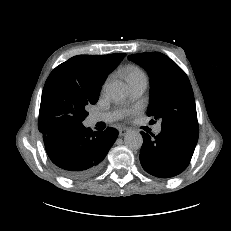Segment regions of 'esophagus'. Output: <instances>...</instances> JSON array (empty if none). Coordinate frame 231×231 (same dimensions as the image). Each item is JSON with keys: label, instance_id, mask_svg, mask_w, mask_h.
<instances>
[{"label": "esophagus", "instance_id": "1", "mask_svg": "<svg viewBox=\"0 0 231 231\" xmlns=\"http://www.w3.org/2000/svg\"><path fill=\"white\" fill-rule=\"evenodd\" d=\"M128 131L129 130L127 128H120L119 129V135L124 136V135H126L128 133Z\"/></svg>", "mask_w": 231, "mask_h": 231}]
</instances>
